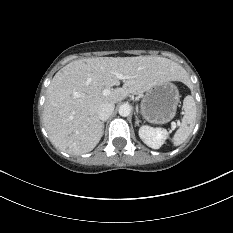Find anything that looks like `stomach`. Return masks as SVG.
Here are the masks:
<instances>
[{
    "instance_id": "obj_1",
    "label": "stomach",
    "mask_w": 233,
    "mask_h": 233,
    "mask_svg": "<svg viewBox=\"0 0 233 233\" xmlns=\"http://www.w3.org/2000/svg\"><path fill=\"white\" fill-rule=\"evenodd\" d=\"M178 101L179 92L173 83L169 81L157 84L143 96L141 114L150 123H167L175 116Z\"/></svg>"
}]
</instances>
